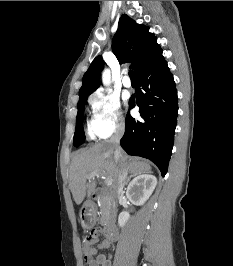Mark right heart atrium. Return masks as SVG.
Masks as SVG:
<instances>
[{
    "instance_id": "obj_1",
    "label": "right heart atrium",
    "mask_w": 233,
    "mask_h": 266,
    "mask_svg": "<svg viewBox=\"0 0 233 266\" xmlns=\"http://www.w3.org/2000/svg\"><path fill=\"white\" fill-rule=\"evenodd\" d=\"M92 118L89 123V134L94 138H107L121 131L124 118L119 98L113 93L100 89L90 100Z\"/></svg>"
}]
</instances>
